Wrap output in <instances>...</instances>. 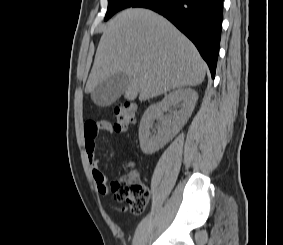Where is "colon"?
Here are the masks:
<instances>
[{"label": "colon", "mask_w": 283, "mask_h": 245, "mask_svg": "<svg viewBox=\"0 0 283 245\" xmlns=\"http://www.w3.org/2000/svg\"><path fill=\"white\" fill-rule=\"evenodd\" d=\"M136 106L132 102L118 104L113 111L114 129L128 131L136 122ZM111 190L116 200L126 202L134 213L142 212L148 202L149 193L134 173H128L112 183Z\"/></svg>", "instance_id": "5ec220e1"}]
</instances>
